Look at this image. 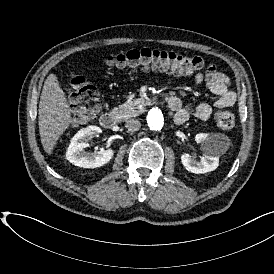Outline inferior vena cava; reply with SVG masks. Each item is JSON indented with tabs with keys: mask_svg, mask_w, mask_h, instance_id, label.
I'll use <instances>...</instances> for the list:
<instances>
[{
	"mask_svg": "<svg viewBox=\"0 0 274 274\" xmlns=\"http://www.w3.org/2000/svg\"><path fill=\"white\" fill-rule=\"evenodd\" d=\"M125 127H126L129 131H137V130L140 129L141 123H140V121L137 120V119H129V120L126 121Z\"/></svg>",
	"mask_w": 274,
	"mask_h": 274,
	"instance_id": "obj_1",
	"label": "inferior vena cava"
}]
</instances>
